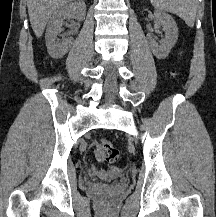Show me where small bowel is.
I'll return each instance as SVG.
<instances>
[{"label": "small bowel", "instance_id": "obj_1", "mask_svg": "<svg viewBox=\"0 0 216 217\" xmlns=\"http://www.w3.org/2000/svg\"><path fill=\"white\" fill-rule=\"evenodd\" d=\"M96 147L97 143H92L90 146V150L92 154L96 157ZM91 174L94 177L101 179H110L117 173H119V169L117 167H109V168H101L95 161L91 162Z\"/></svg>", "mask_w": 216, "mask_h": 217}]
</instances>
